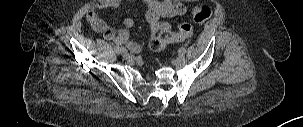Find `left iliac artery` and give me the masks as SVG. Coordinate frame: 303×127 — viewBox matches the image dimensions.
<instances>
[{
    "label": "left iliac artery",
    "mask_w": 303,
    "mask_h": 127,
    "mask_svg": "<svg viewBox=\"0 0 303 127\" xmlns=\"http://www.w3.org/2000/svg\"><path fill=\"white\" fill-rule=\"evenodd\" d=\"M185 53H186V48H185V47H181V48L179 49V54L184 55Z\"/></svg>",
    "instance_id": "left-iliac-artery-1"
}]
</instances>
